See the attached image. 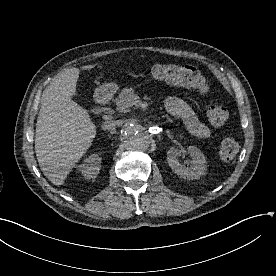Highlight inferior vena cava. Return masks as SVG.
<instances>
[{
	"label": "inferior vena cava",
	"mask_w": 276,
	"mask_h": 276,
	"mask_svg": "<svg viewBox=\"0 0 276 276\" xmlns=\"http://www.w3.org/2000/svg\"><path fill=\"white\" fill-rule=\"evenodd\" d=\"M119 124L118 121L115 120H107L103 123L102 128L104 130H112L115 126Z\"/></svg>",
	"instance_id": "1"
}]
</instances>
